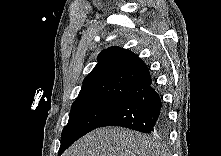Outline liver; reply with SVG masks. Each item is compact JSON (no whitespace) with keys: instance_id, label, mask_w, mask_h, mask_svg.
<instances>
[{"instance_id":"obj_1","label":"liver","mask_w":221,"mask_h":156,"mask_svg":"<svg viewBox=\"0 0 221 156\" xmlns=\"http://www.w3.org/2000/svg\"><path fill=\"white\" fill-rule=\"evenodd\" d=\"M153 138L126 128H98L75 142L63 156H160Z\"/></svg>"}]
</instances>
